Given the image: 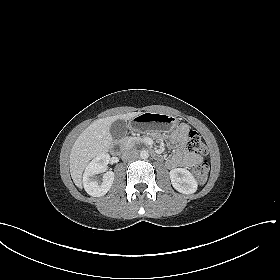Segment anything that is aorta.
Returning <instances> with one entry per match:
<instances>
[{"mask_svg":"<svg viewBox=\"0 0 280 280\" xmlns=\"http://www.w3.org/2000/svg\"><path fill=\"white\" fill-rule=\"evenodd\" d=\"M148 157H149L148 151L142 150V151L140 152V158H141V159H147Z\"/></svg>","mask_w":280,"mask_h":280,"instance_id":"1","label":"aorta"}]
</instances>
